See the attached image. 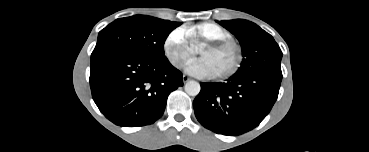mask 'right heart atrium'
<instances>
[{
  "mask_svg": "<svg viewBox=\"0 0 369 152\" xmlns=\"http://www.w3.org/2000/svg\"><path fill=\"white\" fill-rule=\"evenodd\" d=\"M163 51L172 66L183 67L196 53L184 28L172 30L164 40Z\"/></svg>",
  "mask_w": 369,
  "mask_h": 152,
  "instance_id": "obj_1",
  "label": "right heart atrium"
}]
</instances>
